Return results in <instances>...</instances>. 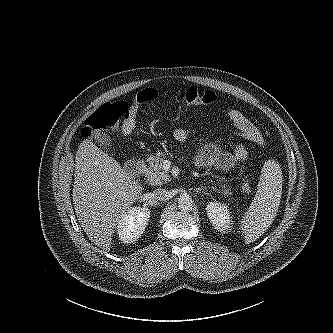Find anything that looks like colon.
Instances as JSON below:
<instances>
[{"label":"colon","instance_id":"colon-1","mask_svg":"<svg viewBox=\"0 0 333 333\" xmlns=\"http://www.w3.org/2000/svg\"><path fill=\"white\" fill-rule=\"evenodd\" d=\"M174 92L188 105L214 106L219 104L213 92L195 86L176 88ZM157 96L156 89L146 88L136 94L132 104L125 101L103 104L87 119L81 132L82 137L85 139L99 138L108 131H116L122 134L131 133L136 126V117L140 106L155 100ZM242 187L247 192L251 191L252 186L249 177L245 176L243 178Z\"/></svg>","mask_w":333,"mask_h":333}]
</instances>
